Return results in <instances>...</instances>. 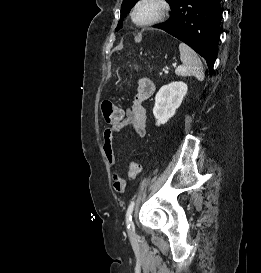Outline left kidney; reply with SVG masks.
<instances>
[{"label": "left kidney", "mask_w": 261, "mask_h": 273, "mask_svg": "<svg viewBox=\"0 0 261 273\" xmlns=\"http://www.w3.org/2000/svg\"><path fill=\"white\" fill-rule=\"evenodd\" d=\"M188 87L185 83L172 82L160 88L155 96V105L153 115L156 119V125L167 123L175 115L180 107L184 96L187 94Z\"/></svg>", "instance_id": "obj_1"}]
</instances>
